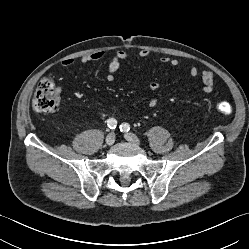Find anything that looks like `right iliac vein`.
<instances>
[{
	"label": "right iliac vein",
	"mask_w": 249,
	"mask_h": 249,
	"mask_svg": "<svg viewBox=\"0 0 249 249\" xmlns=\"http://www.w3.org/2000/svg\"><path fill=\"white\" fill-rule=\"evenodd\" d=\"M115 138H116V136H115L114 132L109 133L105 139L106 145L112 146L115 142Z\"/></svg>",
	"instance_id": "63e3f726"
}]
</instances>
